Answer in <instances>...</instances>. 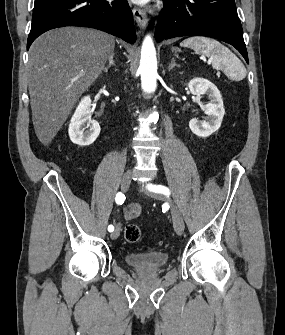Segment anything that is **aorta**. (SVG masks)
<instances>
[{
    "label": "aorta",
    "mask_w": 285,
    "mask_h": 335,
    "mask_svg": "<svg viewBox=\"0 0 285 335\" xmlns=\"http://www.w3.org/2000/svg\"><path fill=\"white\" fill-rule=\"evenodd\" d=\"M138 72L141 76V88L143 97H152L157 86V58L153 40L146 36L141 48V60ZM155 137L161 136L160 130L154 131Z\"/></svg>",
    "instance_id": "aorta-1"
}]
</instances>
